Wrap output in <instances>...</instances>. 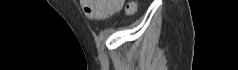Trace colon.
Instances as JSON below:
<instances>
[{
    "instance_id": "obj_1",
    "label": "colon",
    "mask_w": 238,
    "mask_h": 70,
    "mask_svg": "<svg viewBox=\"0 0 238 70\" xmlns=\"http://www.w3.org/2000/svg\"><path fill=\"white\" fill-rule=\"evenodd\" d=\"M125 0H81V5L87 17L92 19H103L110 17L114 12H120ZM135 2H130L128 11H134Z\"/></svg>"
}]
</instances>
